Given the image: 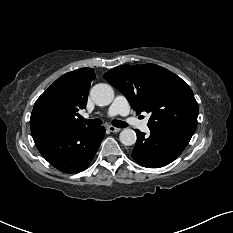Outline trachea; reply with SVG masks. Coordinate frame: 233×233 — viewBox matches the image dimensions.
I'll use <instances>...</instances> for the list:
<instances>
[{
    "label": "trachea",
    "instance_id": "3493384b",
    "mask_svg": "<svg viewBox=\"0 0 233 233\" xmlns=\"http://www.w3.org/2000/svg\"><path fill=\"white\" fill-rule=\"evenodd\" d=\"M81 120L84 123H86L87 126L90 128H97L102 124V121L100 119L88 120V119H84L83 117H81ZM112 125L118 128H125L128 126L127 123L120 121V120H113Z\"/></svg>",
    "mask_w": 233,
    "mask_h": 233
}]
</instances>
